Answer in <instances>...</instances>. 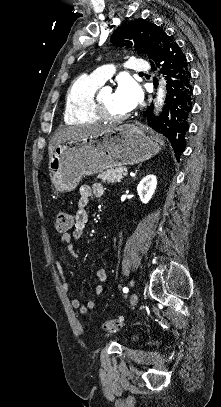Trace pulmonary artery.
Segmentation results:
<instances>
[{"mask_svg":"<svg viewBox=\"0 0 221 407\" xmlns=\"http://www.w3.org/2000/svg\"><path fill=\"white\" fill-rule=\"evenodd\" d=\"M123 68L133 73H144L148 71L149 66L146 62L140 59L133 58L128 63L123 65ZM113 67L111 65H103L90 73V76L99 84L105 83L113 73Z\"/></svg>","mask_w":221,"mask_h":407,"instance_id":"pulmonary-artery-1","label":"pulmonary artery"}]
</instances>
